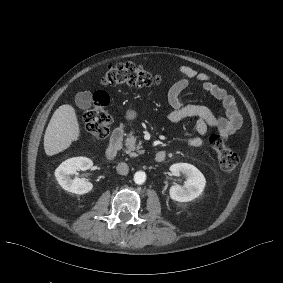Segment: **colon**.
Masks as SVG:
<instances>
[{
  "label": "colon",
  "mask_w": 283,
  "mask_h": 283,
  "mask_svg": "<svg viewBox=\"0 0 283 283\" xmlns=\"http://www.w3.org/2000/svg\"><path fill=\"white\" fill-rule=\"evenodd\" d=\"M161 77L151 73L141 66L133 63H120L110 66L101 78V84L105 87L127 85L135 87H150L158 85ZM109 99L106 93L98 92L93 98L91 107L84 115V121L89 137L92 140L105 138L109 133L111 117L106 110ZM209 144L215 151L220 169L224 173L235 171L239 157L229 149L223 136L213 134L209 138Z\"/></svg>",
  "instance_id": "obj_1"
}]
</instances>
